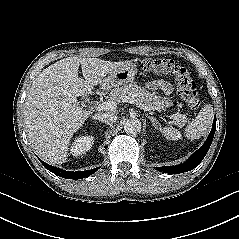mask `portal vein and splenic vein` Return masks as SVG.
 <instances>
[{
    "label": "portal vein and splenic vein",
    "mask_w": 239,
    "mask_h": 239,
    "mask_svg": "<svg viewBox=\"0 0 239 239\" xmlns=\"http://www.w3.org/2000/svg\"><path fill=\"white\" fill-rule=\"evenodd\" d=\"M124 102H128V103H130V104H135L137 107H139V108H141V109H143L144 111H151L152 110V108H150V107H148V106H145V105H143V104H138V103H136V101L132 98V97H126L125 99H124ZM97 110H104V111H113V110H115L116 108H117V103H115L114 101H110V100H108V101H105V102H103V103H101V104H99L98 106H96L95 107ZM180 117V114L179 113H177V114H175L174 116H172V118H173V123L175 124L176 123V121H177V119Z\"/></svg>",
    "instance_id": "1"
}]
</instances>
